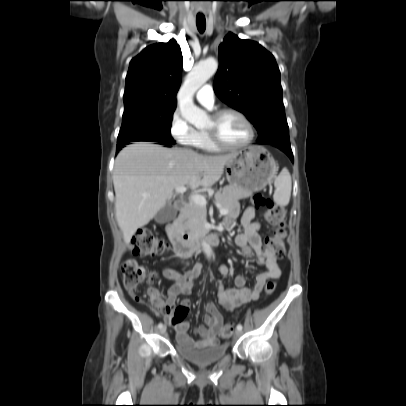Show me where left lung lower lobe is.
<instances>
[{
  "mask_svg": "<svg viewBox=\"0 0 406 406\" xmlns=\"http://www.w3.org/2000/svg\"><path fill=\"white\" fill-rule=\"evenodd\" d=\"M257 144L274 145L275 147L284 151L290 157L292 162L294 161L290 143L277 142L274 140H266V141H257Z\"/></svg>",
  "mask_w": 406,
  "mask_h": 406,
  "instance_id": "left-lung-lower-lobe-1",
  "label": "left lung lower lobe"
}]
</instances>
